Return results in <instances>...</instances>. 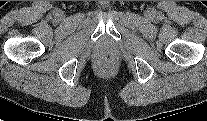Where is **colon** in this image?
Segmentation results:
<instances>
[{
    "label": "colon",
    "instance_id": "1",
    "mask_svg": "<svg viewBox=\"0 0 207 121\" xmlns=\"http://www.w3.org/2000/svg\"><path fill=\"white\" fill-rule=\"evenodd\" d=\"M96 64L100 70H111L115 66V57L110 52L101 53L97 57Z\"/></svg>",
    "mask_w": 207,
    "mask_h": 121
}]
</instances>
